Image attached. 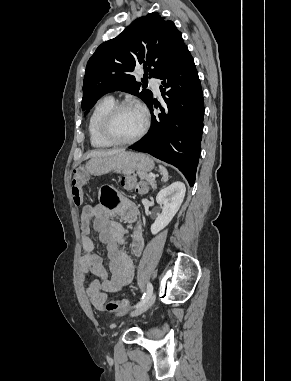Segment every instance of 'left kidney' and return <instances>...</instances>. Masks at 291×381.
<instances>
[{
	"label": "left kidney",
	"mask_w": 291,
	"mask_h": 381,
	"mask_svg": "<svg viewBox=\"0 0 291 381\" xmlns=\"http://www.w3.org/2000/svg\"><path fill=\"white\" fill-rule=\"evenodd\" d=\"M185 192V184L180 181H176L159 191L156 201L161 205L162 213L151 225L152 234H157L171 222L184 200Z\"/></svg>",
	"instance_id": "5707ae66"
}]
</instances>
